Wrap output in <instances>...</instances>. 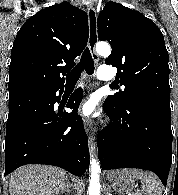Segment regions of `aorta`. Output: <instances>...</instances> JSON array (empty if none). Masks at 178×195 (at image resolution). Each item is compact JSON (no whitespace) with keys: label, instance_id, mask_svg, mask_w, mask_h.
I'll list each match as a JSON object with an SVG mask.
<instances>
[{"label":"aorta","instance_id":"obj_1","mask_svg":"<svg viewBox=\"0 0 178 195\" xmlns=\"http://www.w3.org/2000/svg\"><path fill=\"white\" fill-rule=\"evenodd\" d=\"M96 52L101 56H108L111 53V47L106 42H99L96 45ZM93 147H91V151ZM100 165L98 161L92 155L91 157V175H90V186L88 189V195H100V180H99V172Z\"/></svg>","mask_w":178,"mask_h":195}]
</instances>
